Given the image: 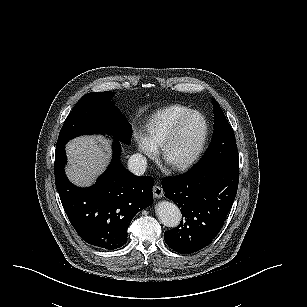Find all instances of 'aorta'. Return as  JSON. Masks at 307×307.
<instances>
[{"label":"aorta","instance_id":"obj_1","mask_svg":"<svg viewBox=\"0 0 307 307\" xmlns=\"http://www.w3.org/2000/svg\"><path fill=\"white\" fill-rule=\"evenodd\" d=\"M158 219L167 227H176L181 220V212L177 205L167 200H160L154 206Z\"/></svg>","mask_w":307,"mask_h":307}]
</instances>
